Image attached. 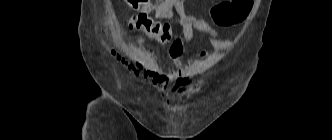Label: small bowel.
I'll return each instance as SVG.
<instances>
[{"mask_svg": "<svg viewBox=\"0 0 332 140\" xmlns=\"http://www.w3.org/2000/svg\"><path fill=\"white\" fill-rule=\"evenodd\" d=\"M144 11L150 12L152 8H146ZM173 11L180 19V34H172L170 37H152L161 44L170 43L169 55L172 68L165 70L156 61H151L147 65L146 75L154 84L175 92L183 89L189 80L188 66L182 59L195 31L200 33L209 45L217 49L229 47L230 42L225 40L209 23L191 14L187 9V0H164L155 9V16L158 19H168ZM200 57L205 58L206 53L202 52Z\"/></svg>", "mask_w": 332, "mask_h": 140, "instance_id": "obj_1", "label": "small bowel"}]
</instances>
